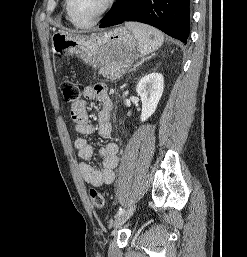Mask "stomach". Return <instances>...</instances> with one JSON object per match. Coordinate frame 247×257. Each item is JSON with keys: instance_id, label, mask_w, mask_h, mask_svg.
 <instances>
[{"instance_id": "1", "label": "stomach", "mask_w": 247, "mask_h": 257, "mask_svg": "<svg viewBox=\"0 0 247 257\" xmlns=\"http://www.w3.org/2000/svg\"><path fill=\"white\" fill-rule=\"evenodd\" d=\"M52 49L60 55L78 54L82 60L98 67L105 63L127 66L138 58L137 41L127 27H116L89 36H74L58 31L52 36Z\"/></svg>"}]
</instances>
